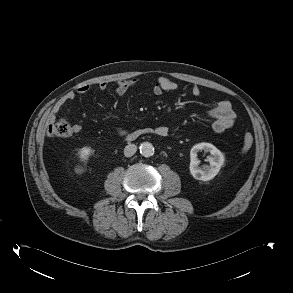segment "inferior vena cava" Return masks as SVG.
I'll use <instances>...</instances> for the list:
<instances>
[{"mask_svg": "<svg viewBox=\"0 0 293 293\" xmlns=\"http://www.w3.org/2000/svg\"><path fill=\"white\" fill-rule=\"evenodd\" d=\"M136 151H137V146L135 144H128L124 148V155L126 157H131L136 153Z\"/></svg>", "mask_w": 293, "mask_h": 293, "instance_id": "inferior-vena-cava-1", "label": "inferior vena cava"}]
</instances>
